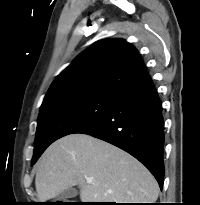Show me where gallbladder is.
<instances>
[{
	"label": "gallbladder",
	"mask_w": 200,
	"mask_h": 205,
	"mask_svg": "<svg viewBox=\"0 0 200 205\" xmlns=\"http://www.w3.org/2000/svg\"><path fill=\"white\" fill-rule=\"evenodd\" d=\"M77 194H78L77 190L75 188L71 187V188L66 189L63 192H61L56 197V200H58V201L66 200L68 198H73V197L77 196Z\"/></svg>",
	"instance_id": "1"
}]
</instances>
